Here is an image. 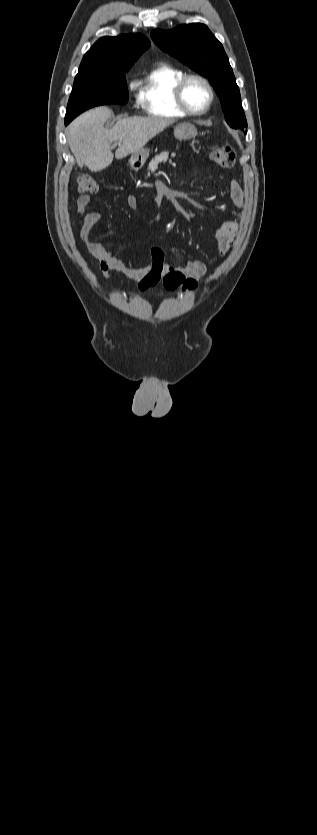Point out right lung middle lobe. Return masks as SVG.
<instances>
[{
  "label": "right lung middle lobe",
  "instance_id": "dd1d6c3e",
  "mask_svg": "<svg viewBox=\"0 0 317 835\" xmlns=\"http://www.w3.org/2000/svg\"><path fill=\"white\" fill-rule=\"evenodd\" d=\"M78 72L71 92L65 124L71 122L85 110L105 104H125L128 101V90L124 72Z\"/></svg>",
  "mask_w": 317,
  "mask_h": 835
}]
</instances>
